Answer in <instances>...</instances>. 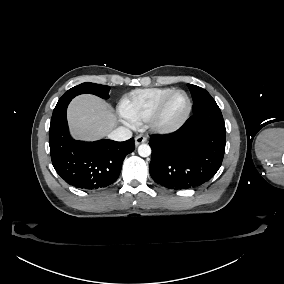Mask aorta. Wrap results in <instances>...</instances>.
I'll return each mask as SVG.
<instances>
[{
  "instance_id": "762f6f07",
  "label": "aorta",
  "mask_w": 284,
  "mask_h": 284,
  "mask_svg": "<svg viewBox=\"0 0 284 284\" xmlns=\"http://www.w3.org/2000/svg\"><path fill=\"white\" fill-rule=\"evenodd\" d=\"M138 154L141 157H148L151 154V147L147 144H141L138 147Z\"/></svg>"
}]
</instances>
